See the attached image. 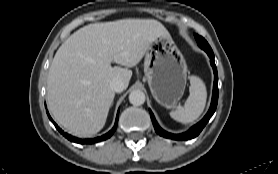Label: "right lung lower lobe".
Masks as SVG:
<instances>
[{
    "mask_svg": "<svg viewBox=\"0 0 278 174\" xmlns=\"http://www.w3.org/2000/svg\"><path fill=\"white\" fill-rule=\"evenodd\" d=\"M47 114H48V117L49 119L53 122V124L55 125V127L58 129V131L63 134V136H65L68 140L72 141V142H76V143H79V144H86V143H89V144H92V143H96V142H99V141H102V140H106L108 139L109 137H111L113 135V133L115 132L116 130V127H117V123H118V115L119 113L117 114V117H116V121H115V125L114 127L112 128V130H110L108 133L104 134L103 136L101 137H97V138H94V139H79V138H75L65 132H63V130H61L58 125L52 120V118L50 117L48 111H47Z\"/></svg>",
    "mask_w": 278,
    "mask_h": 174,
    "instance_id": "98d812e1",
    "label": "right lung lower lobe"
}]
</instances>
